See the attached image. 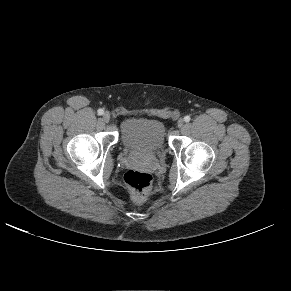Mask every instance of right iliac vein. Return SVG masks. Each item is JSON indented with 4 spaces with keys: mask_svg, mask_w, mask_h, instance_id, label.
Instances as JSON below:
<instances>
[{
    "mask_svg": "<svg viewBox=\"0 0 291 291\" xmlns=\"http://www.w3.org/2000/svg\"><path fill=\"white\" fill-rule=\"evenodd\" d=\"M103 121H104L105 123H108V122L110 121V114H109V112H105V113L103 114Z\"/></svg>",
    "mask_w": 291,
    "mask_h": 291,
    "instance_id": "63e3f726",
    "label": "right iliac vein"
}]
</instances>
